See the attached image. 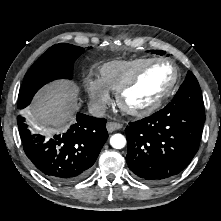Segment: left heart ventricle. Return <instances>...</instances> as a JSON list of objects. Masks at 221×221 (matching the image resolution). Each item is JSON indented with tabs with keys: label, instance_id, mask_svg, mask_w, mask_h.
Here are the masks:
<instances>
[{
	"label": "left heart ventricle",
	"instance_id": "obj_1",
	"mask_svg": "<svg viewBox=\"0 0 221 221\" xmlns=\"http://www.w3.org/2000/svg\"><path fill=\"white\" fill-rule=\"evenodd\" d=\"M172 76L173 71L170 66L166 64L153 65L127 92L126 102L134 108L149 105L168 87Z\"/></svg>",
	"mask_w": 221,
	"mask_h": 221
}]
</instances>
